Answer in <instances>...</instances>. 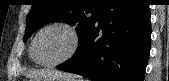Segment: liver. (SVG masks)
<instances>
[{
    "label": "liver",
    "mask_w": 169,
    "mask_h": 81,
    "mask_svg": "<svg viewBox=\"0 0 169 81\" xmlns=\"http://www.w3.org/2000/svg\"><path fill=\"white\" fill-rule=\"evenodd\" d=\"M27 75L32 79H43V78H49V77H63V78H69L66 74L61 73L59 71H50V70H34L27 73Z\"/></svg>",
    "instance_id": "1"
}]
</instances>
